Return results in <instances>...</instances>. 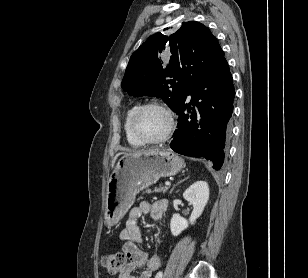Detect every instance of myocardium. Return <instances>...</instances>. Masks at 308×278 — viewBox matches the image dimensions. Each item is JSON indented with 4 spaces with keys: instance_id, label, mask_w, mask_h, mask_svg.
<instances>
[{
    "instance_id": "obj_1",
    "label": "myocardium",
    "mask_w": 308,
    "mask_h": 278,
    "mask_svg": "<svg viewBox=\"0 0 308 278\" xmlns=\"http://www.w3.org/2000/svg\"><path fill=\"white\" fill-rule=\"evenodd\" d=\"M149 108H157L165 112V114L168 117V128L163 136L160 138L156 139H151L146 136H144L138 129L137 127V118L139 115L145 111L146 109ZM175 128V120L172 111L164 104L160 102H148L142 105H139L131 114L130 117V129L133 133V135L141 141L143 144H150V145H155V144H161L166 142L172 135L173 131Z\"/></svg>"
}]
</instances>
